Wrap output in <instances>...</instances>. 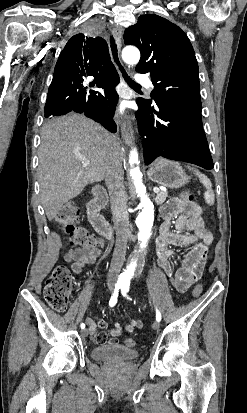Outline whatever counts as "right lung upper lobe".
<instances>
[{
    "mask_svg": "<svg viewBox=\"0 0 247 413\" xmlns=\"http://www.w3.org/2000/svg\"><path fill=\"white\" fill-rule=\"evenodd\" d=\"M117 74L111 63L108 46L101 37L74 35L61 51L55 66L53 81L79 75L95 78Z\"/></svg>",
    "mask_w": 247,
    "mask_h": 413,
    "instance_id": "right-lung-upper-lobe-1",
    "label": "right lung upper lobe"
}]
</instances>
